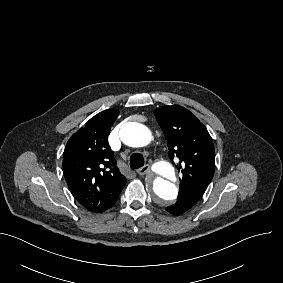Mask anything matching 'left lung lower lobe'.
<instances>
[{
    "label": "left lung lower lobe",
    "mask_w": 283,
    "mask_h": 283,
    "mask_svg": "<svg viewBox=\"0 0 283 283\" xmlns=\"http://www.w3.org/2000/svg\"><path fill=\"white\" fill-rule=\"evenodd\" d=\"M198 201L199 199L191 196H181L178 198L177 202L174 205L168 206L166 208V211L173 215H179L189 210Z\"/></svg>",
    "instance_id": "obj_1"
}]
</instances>
